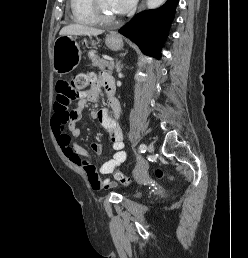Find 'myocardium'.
<instances>
[{"mask_svg": "<svg viewBox=\"0 0 248 258\" xmlns=\"http://www.w3.org/2000/svg\"><path fill=\"white\" fill-rule=\"evenodd\" d=\"M91 11L97 22L112 23L117 20L116 17H111L105 14L101 8V0H90Z\"/></svg>", "mask_w": 248, "mask_h": 258, "instance_id": "f54148a6", "label": "myocardium"}]
</instances>
